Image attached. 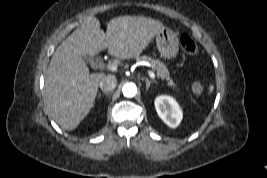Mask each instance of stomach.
I'll return each mask as SVG.
<instances>
[{"instance_id": "stomach-1", "label": "stomach", "mask_w": 267, "mask_h": 178, "mask_svg": "<svg viewBox=\"0 0 267 178\" xmlns=\"http://www.w3.org/2000/svg\"><path fill=\"white\" fill-rule=\"evenodd\" d=\"M156 45L162 57L172 59L179 51V39L171 29L164 28L156 36Z\"/></svg>"}]
</instances>
